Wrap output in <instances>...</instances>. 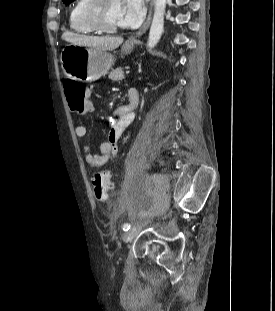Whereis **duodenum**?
<instances>
[{
    "instance_id": "duodenum-1",
    "label": "duodenum",
    "mask_w": 275,
    "mask_h": 311,
    "mask_svg": "<svg viewBox=\"0 0 275 311\" xmlns=\"http://www.w3.org/2000/svg\"><path fill=\"white\" fill-rule=\"evenodd\" d=\"M129 100H130V103L132 104V106H134V108H135L137 103H138L137 99L131 96V97H129ZM117 109L118 110H124V108L121 106L118 107Z\"/></svg>"
}]
</instances>
